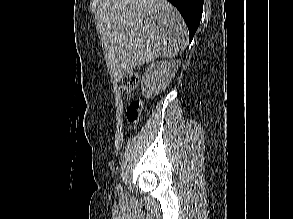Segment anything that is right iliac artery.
Returning <instances> with one entry per match:
<instances>
[{
	"mask_svg": "<svg viewBox=\"0 0 293 219\" xmlns=\"http://www.w3.org/2000/svg\"><path fill=\"white\" fill-rule=\"evenodd\" d=\"M117 190L120 192V194L122 193V188L120 186H117Z\"/></svg>",
	"mask_w": 293,
	"mask_h": 219,
	"instance_id": "82829eb1",
	"label": "right iliac artery"
}]
</instances>
